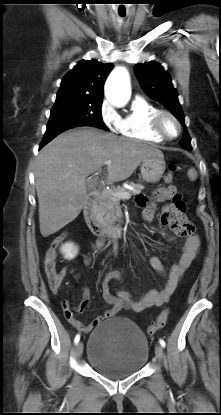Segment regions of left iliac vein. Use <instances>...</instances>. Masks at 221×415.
Here are the masks:
<instances>
[{"label":"left iliac vein","mask_w":221,"mask_h":415,"mask_svg":"<svg viewBox=\"0 0 221 415\" xmlns=\"http://www.w3.org/2000/svg\"><path fill=\"white\" fill-rule=\"evenodd\" d=\"M155 354H156V357H157L159 360L162 358V356H163V348H162V346H161V345L157 344V345L155 346Z\"/></svg>","instance_id":"obj_1"}]
</instances>
